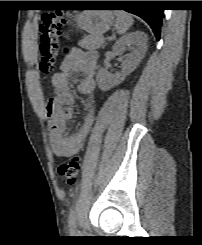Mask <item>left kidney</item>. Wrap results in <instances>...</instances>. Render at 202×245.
<instances>
[{
    "instance_id": "left-kidney-1",
    "label": "left kidney",
    "mask_w": 202,
    "mask_h": 245,
    "mask_svg": "<svg viewBox=\"0 0 202 245\" xmlns=\"http://www.w3.org/2000/svg\"><path fill=\"white\" fill-rule=\"evenodd\" d=\"M148 38L144 32H131L120 38L112 47L113 54L121 56L126 47L131 51L122 61V70L118 74H111L101 68L97 74V82L102 91L110 90L124 81L127 75L136 69L147 51Z\"/></svg>"
}]
</instances>
